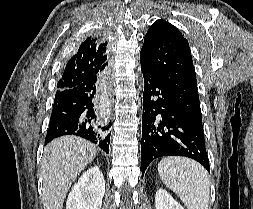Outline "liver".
<instances>
[{
	"label": "liver",
	"instance_id": "obj_1",
	"mask_svg": "<svg viewBox=\"0 0 253 209\" xmlns=\"http://www.w3.org/2000/svg\"><path fill=\"white\" fill-rule=\"evenodd\" d=\"M96 146L77 136H62L44 149L41 162L44 209H62L72 183L96 157Z\"/></svg>",
	"mask_w": 253,
	"mask_h": 209
}]
</instances>
